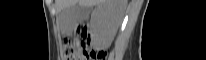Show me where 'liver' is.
Here are the masks:
<instances>
[{
	"mask_svg": "<svg viewBox=\"0 0 206 60\" xmlns=\"http://www.w3.org/2000/svg\"><path fill=\"white\" fill-rule=\"evenodd\" d=\"M76 3L83 7H92L101 4L114 5V13H113L114 21L112 23V33H111V36L113 38L122 22L127 1L126 0H55V6L58 13H60L64 8L70 5H74Z\"/></svg>",
	"mask_w": 206,
	"mask_h": 60,
	"instance_id": "liver-1",
	"label": "liver"
}]
</instances>
